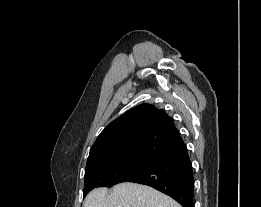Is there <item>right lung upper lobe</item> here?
Returning <instances> with one entry per match:
<instances>
[{"label": "right lung upper lobe", "mask_w": 261, "mask_h": 207, "mask_svg": "<svg viewBox=\"0 0 261 207\" xmlns=\"http://www.w3.org/2000/svg\"><path fill=\"white\" fill-rule=\"evenodd\" d=\"M186 149L173 119L141 104L112 121L90 149L87 165L129 156L161 160Z\"/></svg>", "instance_id": "right-lung-upper-lobe-1"}]
</instances>
